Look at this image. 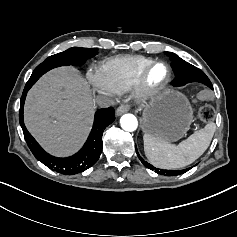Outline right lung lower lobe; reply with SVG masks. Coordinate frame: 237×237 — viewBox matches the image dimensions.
Listing matches in <instances>:
<instances>
[{"label": "right lung lower lobe", "instance_id": "1", "mask_svg": "<svg viewBox=\"0 0 237 237\" xmlns=\"http://www.w3.org/2000/svg\"><path fill=\"white\" fill-rule=\"evenodd\" d=\"M28 80L20 101L19 121L23 129L24 138L34 156L44 165L58 173L73 175L83 172L94 165L102 152V134L104 129L115 120L113 108L100 109L95 113L92 131L83 146L75 155L68 158H57L46 153L32 135L27 131L23 122V107L28 90L32 87Z\"/></svg>", "mask_w": 237, "mask_h": 237}]
</instances>
